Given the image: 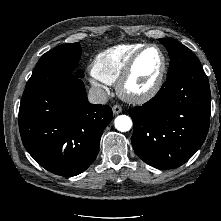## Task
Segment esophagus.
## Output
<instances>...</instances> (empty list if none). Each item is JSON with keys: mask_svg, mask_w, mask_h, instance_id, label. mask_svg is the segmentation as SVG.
Listing matches in <instances>:
<instances>
[{"mask_svg": "<svg viewBox=\"0 0 221 221\" xmlns=\"http://www.w3.org/2000/svg\"><path fill=\"white\" fill-rule=\"evenodd\" d=\"M112 111L114 115H117L122 112V107L120 105H114Z\"/></svg>", "mask_w": 221, "mask_h": 221, "instance_id": "esophagus-1", "label": "esophagus"}]
</instances>
